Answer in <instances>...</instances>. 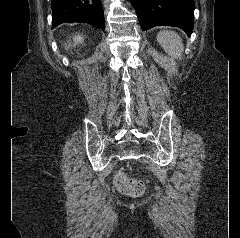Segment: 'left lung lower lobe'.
I'll return each instance as SVG.
<instances>
[{
	"instance_id": "0a47b994",
	"label": "left lung lower lobe",
	"mask_w": 240,
	"mask_h": 238,
	"mask_svg": "<svg viewBox=\"0 0 240 238\" xmlns=\"http://www.w3.org/2000/svg\"><path fill=\"white\" fill-rule=\"evenodd\" d=\"M141 28L175 26L188 36L194 27V0H130Z\"/></svg>"
}]
</instances>
